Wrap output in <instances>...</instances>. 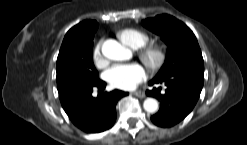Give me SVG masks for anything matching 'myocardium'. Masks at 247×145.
Instances as JSON below:
<instances>
[{"instance_id": "f54148a6", "label": "myocardium", "mask_w": 247, "mask_h": 145, "mask_svg": "<svg viewBox=\"0 0 247 145\" xmlns=\"http://www.w3.org/2000/svg\"><path fill=\"white\" fill-rule=\"evenodd\" d=\"M140 57L152 69H157L164 61V52L160 46H150L140 53Z\"/></svg>"}]
</instances>
